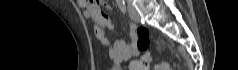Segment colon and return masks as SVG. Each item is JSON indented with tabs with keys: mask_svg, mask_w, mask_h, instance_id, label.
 I'll return each instance as SVG.
<instances>
[{
	"mask_svg": "<svg viewBox=\"0 0 238 70\" xmlns=\"http://www.w3.org/2000/svg\"><path fill=\"white\" fill-rule=\"evenodd\" d=\"M93 3H99L98 0H90ZM137 47L140 51L146 50L150 43V32L145 27H140L136 30ZM150 67L149 61L145 58L131 63V70H148ZM155 70H170L169 63H158Z\"/></svg>",
	"mask_w": 238,
	"mask_h": 70,
	"instance_id": "5ec220e1",
	"label": "colon"
}]
</instances>
